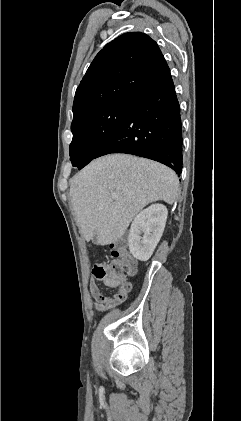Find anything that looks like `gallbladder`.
<instances>
[{"mask_svg":"<svg viewBox=\"0 0 241 421\" xmlns=\"http://www.w3.org/2000/svg\"><path fill=\"white\" fill-rule=\"evenodd\" d=\"M92 242H93L94 244H98V241H97V236H96V235H94V236H93V238H92Z\"/></svg>","mask_w":241,"mask_h":421,"instance_id":"1","label":"gallbladder"}]
</instances>
